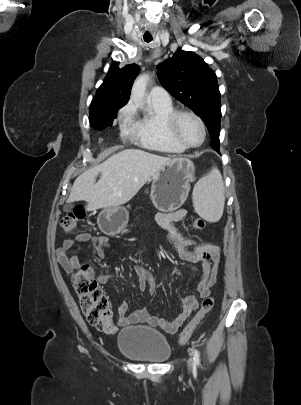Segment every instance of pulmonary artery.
Instances as JSON below:
<instances>
[{
  "instance_id": "pulmonary-artery-1",
  "label": "pulmonary artery",
  "mask_w": 301,
  "mask_h": 405,
  "mask_svg": "<svg viewBox=\"0 0 301 405\" xmlns=\"http://www.w3.org/2000/svg\"><path fill=\"white\" fill-rule=\"evenodd\" d=\"M149 100L150 102L164 106L171 105V98L169 93L160 86H155L151 89L149 93Z\"/></svg>"
}]
</instances>
